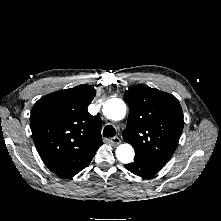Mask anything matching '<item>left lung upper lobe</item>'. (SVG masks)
Masks as SVG:
<instances>
[{
    "instance_id": "left-lung-upper-lobe-1",
    "label": "left lung upper lobe",
    "mask_w": 221,
    "mask_h": 221,
    "mask_svg": "<svg viewBox=\"0 0 221 221\" xmlns=\"http://www.w3.org/2000/svg\"><path fill=\"white\" fill-rule=\"evenodd\" d=\"M124 97L129 105L124 141L134 147L138 157L168 162L184 125L179 101L144 84L133 86Z\"/></svg>"
}]
</instances>
